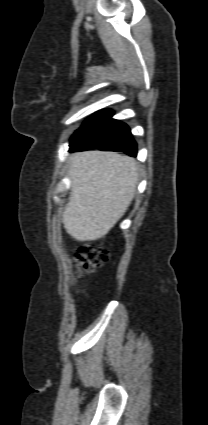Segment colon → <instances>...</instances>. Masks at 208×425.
Returning <instances> with one entry per match:
<instances>
[{"instance_id": "obj_1", "label": "colon", "mask_w": 208, "mask_h": 425, "mask_svg": "<svg viewBox=\"0 0 208 425\" xmlns=\"http://www.w3.org/2000/svg\"><path fill=\"white\" fill-rule=\"evenodd\" d=\"M109 254L105 247L98 244H83L75 255L80 273H93L108 261Z\"/></svg>"}]
</instances>
